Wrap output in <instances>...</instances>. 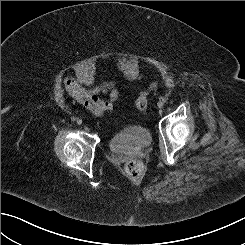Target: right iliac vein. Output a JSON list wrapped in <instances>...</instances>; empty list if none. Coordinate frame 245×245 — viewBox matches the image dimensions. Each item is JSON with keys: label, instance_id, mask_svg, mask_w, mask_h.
<instances>
[{"label": "right iliac vein", "instance_id": "obj_1", "mask_svg": "<svg viewBox=\"0 0 245 245\" xmlns=\"http://www.w3.org/2000/svg\"><path fill=\"white\" fill-rule=\"evenodd\" d=\"M76 122L78 125H81L83 121L80 118H78Z\"/></svg>", "mask_w": 245, "mask_h": 245}]
</instances>
